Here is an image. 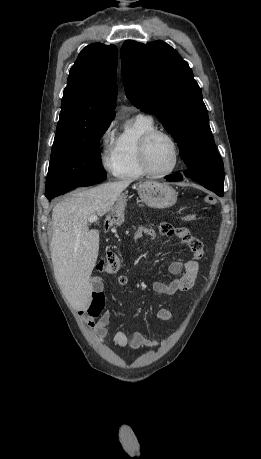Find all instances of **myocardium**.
Segmentation results:
<instances>
[{
  "instance_id": "f54148a6",
  "label": "myocardium",
  "mask_w": 261,
  "mask_h": 459,
  "mask_svg": "<svg viewBox=\"0 0 261 459\" xmlns=\"http://www.w3.org/2000/svg\"><path fill=\"white\" fill-rule=\"evenodd\" d=\"M157 136H164L166 137L172 144L173 146V149H174V164L173 166L171 167L170 170L166 171V172H162V173H158V172H155L151 169L150 167V163H149V147H150V144L152 142V140L154 138H156ZM139 159H140V164L143 168V170L145 171V173L149 176H152V177H155V178H163V177H167V176H170L171 174H173L176 169L178 168L179 166V163H180V147H179V144L177 142V140L175 139V137L165 131V130H161V129H153L149 132H147L140 140V143H139Z\"/></svg>"
}]
</instances>
